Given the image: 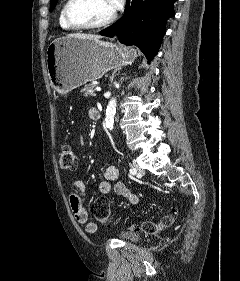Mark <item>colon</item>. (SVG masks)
Returning <instances> with one entry per match:
<instances>
[{
	"label": "colon",
	"instance_id": "colon-1",
	"mask_svg": "<svg viewBox=\"0 0 240 281\" xmlns=\"http://www.w3.org/2000/svg\"><path fill=\"white\" fill-rule=\"evenodd\" d=\"M59 164L64 170L73 171L77 167V157L71 146L64 145L59 154ZM91 213L94 218L103 224H110V204L105 197L95 199L91 204ZM177 210L171 208L167 215L160 221V223L144 222L141 226L142 230L147 233H155L158 230L170 226L175 220Z\"/></svg>",
	"mask_w": 240,
	"mask_h": 281
}]
</instances>
